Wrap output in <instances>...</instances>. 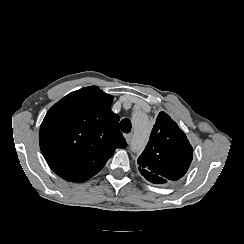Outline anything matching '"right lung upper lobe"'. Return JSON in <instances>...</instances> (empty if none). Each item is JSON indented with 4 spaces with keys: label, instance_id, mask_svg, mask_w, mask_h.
<instances>
[{
    "label": "right lung upper lobe",
    "instance_id": "right-lung-upper-lobe-1",
    "mask_svg": "<svg viewBox=\"0 0 244 244\" xmlns=\"http://www.w3.org/2000/svg\"><path fill=\"white\" fill-rule=\"evenodd\" d=\"M113 96L97 86L74 91L47 112L39 132L41 152L61 178L84 182L96 175L116 148H125Z\"/></svg>",
    "mask_w": 244,
    "mask_h": 244
}]
</instances>
